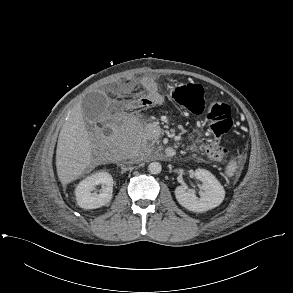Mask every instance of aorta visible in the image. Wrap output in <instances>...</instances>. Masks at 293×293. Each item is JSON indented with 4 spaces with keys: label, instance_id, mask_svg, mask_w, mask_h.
I'll use <instances>...</instances> for the list:
<instances>
[{
    "label": "aorta",
    "instance_id": "1",
    "mask_svg": "<svg viewBox=\"0 0 293 293\" xmlns=\"http://www.w3.org/2000/svg\"><path fill=\"white\" fill-rule=\"evenodd\" d=\"M162 170V166L159 162H151L148 166V171L151 174H159Z\"/></svg>",
    "mask_w": 293,
    "mask_h": 293
}]
</instances>
